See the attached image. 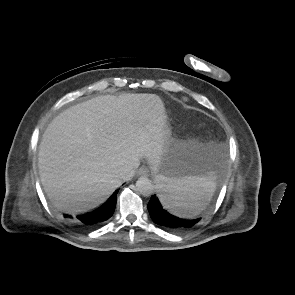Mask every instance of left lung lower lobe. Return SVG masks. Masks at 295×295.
Instances as JSON below:
<instances>
[{
	"label": "left lung lower lobe",
	"instance_id": "left-lung-lower-lobe-1",
	"mask_svg": "<svg viewBox=\"0 0 295 295\" xmlns=\"http://www.w3.org/2000/svg\"><path fill=\"white\" fill-rule=\"evenodd\" d=\"M211 159L213 154H211ZM150 216L156 224L170 231H184L193 227L200 219H184L168 212L160 202L159 197L153 195L148 204Z\"/></svg>",
	"mask_w": 295,
	"mask_h": 295
}]
</instances>
